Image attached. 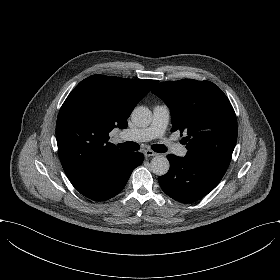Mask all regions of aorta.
<instances>
[{
	"instance_id": "aorta-1",
	"label": "aorta",
	"mask_w": 280,
	"mask_h": 280,
	"mask_svg": "<svg viewBox=\"0 0 280 280\" xmlns=\"http://www.w3.org/2000/svg\"><path fill=\"white\" fill-rule=\"evenodd\" d=\"M152 119L151 111L144 107H135L131 113V120L137 127H146ZM170 168L169 161L164 156H156L151 160L150 170L157 176L165 175Z\"/></svg>"
}]
</instances>
